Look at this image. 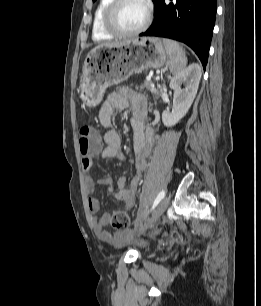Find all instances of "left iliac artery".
<instances>
[{"instance_id":"left-iliac-artery-1","label":"left iliac artery","mask_w":261,"mask_h":306,"mask_svg":"<svg viewBox=\"0 0 261 306\" xmlns=\"http://www.w3.org/2000/svg\"><path fill=\"white\" fill-rule=\"evenodd\" d=\"M165 197V191L162 190L158 196L156 197V199L154 200L153 202V205H152V208H151V211L159 204V202Z\"/></svg>"}]
</instances>
